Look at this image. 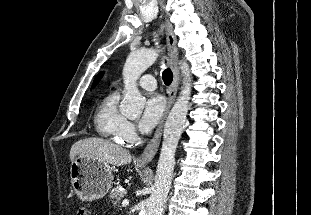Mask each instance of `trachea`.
<instances>
[{"label":"trachea","instance_id":"trachea-1","mask_svg":"<svg viewBox=\"0 0 311 215\" xmlns=\"http://www.w3.org/2000/svg\"><path fill=\"white\" fill-rule=\"evenodd\" d=\"M162 79L165 85H170L173 80V73L170 68H166L162 73Z\"/></svg>","mask_w":311,"mask_h":215}]
</instances>
